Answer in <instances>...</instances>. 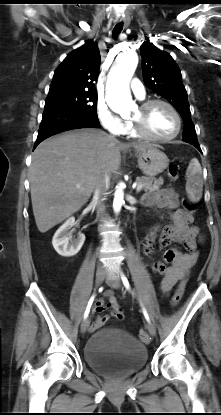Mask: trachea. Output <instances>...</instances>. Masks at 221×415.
I'll list each match as a JSON object with an SVG mask.
<instances>
[{"mask_svg":"<svg viewBox=\"0 0 221 415\" xmlns=\"http://www.w3.org/2000/svg\"><path fill=\"white\" fill-rule=\"evenodd\" d=\"M122 29H123V22H120L113 29V32H112L113 37L116 38L121 33Z\"/></svg>","mask_w":221,"mask_h":415,"instance_id":"obj_1","label":"trachea"}]
</instances>
